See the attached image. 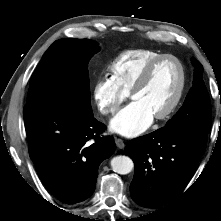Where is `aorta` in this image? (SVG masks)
Returning a JSON list of instances; mask_svg holds the SVG:
<instances>
[{"label": "aorta", "instance_id": "obj_1", "mask_svg": "<svg viewBox=\"0 0 221 221\" xmlns=\"http://www.w3.org/2000/svg\"><path fill=\"white\" fill-rule=\"evenodd\" d=\"M112 170L118 174H128L132 171L134 163L128 156H116L111 159Z\"/></svg>", "mask_w": 221, "mask_h": 221}]
</instances>
